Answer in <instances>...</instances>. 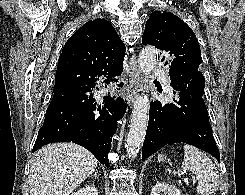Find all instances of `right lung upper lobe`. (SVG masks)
Listing matches in <instances>:
<instances>
[{
	"label": "right lung upper lobe",
	"mask_w": 245,
	"mask_h": 195,
	"mask_svg": "<svg viewBox=\"0 0 245 195\" xmlns=\"http://www.w3.org/2000/svg\"><path fill=\"white\" fill-rule=\"evenodd\" d=\"M125 45L104 19L90 20L66 42L58 60L53 92L83 86L103 74L110 78L123 70Z\"/></svg>",
	"instance_id": "1"
}]
</instances>
